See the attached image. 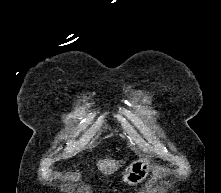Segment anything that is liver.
<instances>
[{"mask_svg": "<svg viewBox=\"0 0 221 193\" xmlns=\"http://www.w3.org/2000/svg\"><path fill=\"white\" fill-rule=\"evenodd\" d=\"M122 163H123V160L116 161V160L106 158L104 160H99L97 162V167L104 174H112L114 173V171H116L117 169L121 167Z\"/></svg>", "mask_w": 221, "mask_h": 193, "instance_id": "6515ba94", "label": "liver"}]
</instances>
